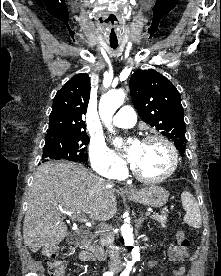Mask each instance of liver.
Returning <instances> with one entry per match:
<instances>
[{"label":"liver","mask_w":221,"mask_h":276,"mask_svg":"<svg viewBox=\"0 0 221 276\" xmlns=\"http://www.w3.org/2000/svg\"><path fill=\"white\" fill-rule=\"evenodd\" d=\"M118 190L72 162H47L34 173L23 223L24 244L36 253L56 248L68 235L64 219L85 213L107 221L117 211Z\"/></svg>","instance_id":"6515ba94"}]
</instances>
